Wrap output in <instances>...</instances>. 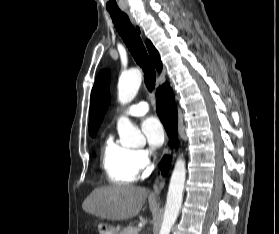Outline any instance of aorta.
Masks as SVG:
<instances>
[{
  "label": "aorta",
  "instance_id": "1",
  "mask_svg": "<svg viewBox=\"0 0 279 234\" xmlns=\"http://www.w3.org/2000/svg\"><path fill=\"white\" fill-rule=\"evenodd\" d=\"M142 81L139 69L123 72L118 81V100L121 104L131 102L136 96ZM120 143L125 147H133L144 141L141 131L128 118L121 117L117 122ZM186 179V166L183 156H180L171 175L167 193L163 222L159 234H170L177 220L182 205L183 190Z\"/></svg>",
  "mask_w": 279,
  "mask_h": 234
}]
</instances>
